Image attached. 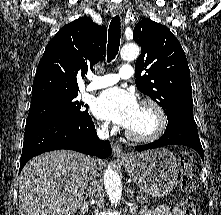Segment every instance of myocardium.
I'll list each match as a JSON object with an SVG mask.
<instances>
[{"label": "myocardium", "mask_w": 221, "mask_h": 215, "mask_svg": "<svg viewBox=\"0 0 221 215\" xmlns=\"http://www.w3.org/2000/svg\"><path fill=\"white\" fill-rule=\"evenodd\" d=\"M140 106H147L151 108L157 119V126L153 132L147 135H137L126 129V137L137 143H150L158 140L165 132L168 124L167 115L162 106L151 98H144L140 101Z\"/></svg>", "instance_id": "f54148a6"}]
</instances>
